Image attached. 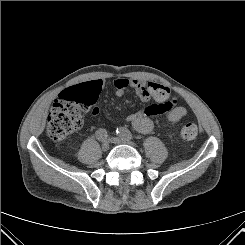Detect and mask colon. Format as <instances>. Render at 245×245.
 I'll return each mask as SVG.
<instances>
[{"label": "colon", "instance_id": "colon-1", "mask_svg": "<svg viewBox=\"0 0 245 245\" xmlns=\"http://www.w3.org/2000/svg\"><path fill=\"white\" fill-rule=\"evenodd\" d=\"M100 91V84L94 81L62 91L48 117V136L54 141H61L77 131L82 125V110L96 103ZM180 133L184 140H193L198 134V128L194 123H186Z\"/></svg>", "mask_w": 245, "mask_h": 245}]
</instances>
